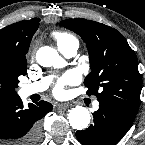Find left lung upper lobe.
<instances>
[{"label":"left lung upper lobe","instance_id":"1","mask_svg":"<svg viewBox=\"0 0 145 145\" xmlns=\"http://www.w3.org/2000/svg\"><path fill=\"white\" fill-rule=\"evenodd\" d=\"M60 23L79 34L87 44L91 67L84 81L87 93L95 95L100 104H113L136 113L141 77L136 54L124 36L116 29L86 19Z\"/></svg>","mask_w":145,"mask_h":145}]
</instances>
